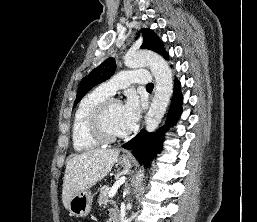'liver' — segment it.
I'll return each mask as SVG.
<instances>
[{
  "instance_id": "6515ba94",
  "label": "liver",
  "mask_w": 257,
  "mask_h": 222,
  "mask_svg": "<svg viewBox=\"0 0 257 222\" xmlns=\"http://www.w3.org/2000/svg\"><path fill=\"white\" fill-rule=\"evenodd\" d=\"M119 153V149H93L67 161L62 188L66 209L75 193L88 189L111 171Z\"/></svg>"
}]
</instances>
